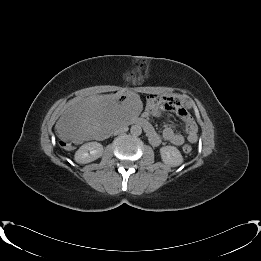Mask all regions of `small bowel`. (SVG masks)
Here are the masks:
<instances>
[{
  "mask_svg": "<svg viewBox=\"0 0 261 261\" xmlns=\"http://www.w3.org/2000/svg\"><path fill=\"white\" fill-rule=\"evenodd\" d=\"M150 107L148 112L150 115L159 117L162 112H172L175 113L185 124L186 138L189 143H195L198 139V127L186 107L175 100L173 97H168L164 95H153L150 97ZM149 140L153 145H158L160 143V136L153 129V131L148 135ZM162 137L164 140L170 142L175 146H180L185 142V136L181 133H177L171 127H166L162 131Z\"/></svg>",
  "mask_w": 261,
  "mask_h": 261,
  "instance_id": "obj_1",
  "label": "small bowel"
}]
</instances>
